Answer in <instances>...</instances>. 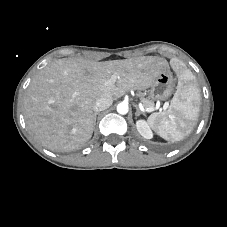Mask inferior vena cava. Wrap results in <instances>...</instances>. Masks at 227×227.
I'll use <instances>...</instances> for the list:
<instances>
[{
	"instance_id": "602c4592",
	"label": "inferior vena cava",
	"mask_w": 227,
	"mask_h": 227,
	"mask_svg": "<svg viewBox=\"0 0 227 227\" xmlns=\"http://www.w3.org/2000/svg\"><path fill=\"white\" fill-rule=\"evenodd\" d=\"M113 103V98L112 96L109 95H104L101 96L95 103V105L93 106V110L95 112H100L103 111L107 108H109Z\"/></svg>"
}]
</instances>
